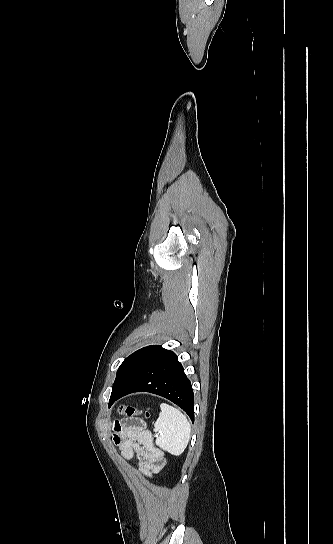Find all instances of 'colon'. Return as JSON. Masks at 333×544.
Returning <instances> with one entry per match:
<instances>
[{
    "instance_id": "obj_1",
    "label": "colon",
    "mask_w": 333,
    "mask_h": 544,
    "mask_svg": "<svg viewBox=\"0 0 333 544\" xmlns=\"http://www.w3.org/2000/svg\"><path fill=\"white\" fill-rule=\"evenodd\" d=\"M118 413L128 419H135L138 416H143L145 418L150 417V413L148 411H143L132 405H120L118 407Z\"/></svg>"
}]
</instances>
